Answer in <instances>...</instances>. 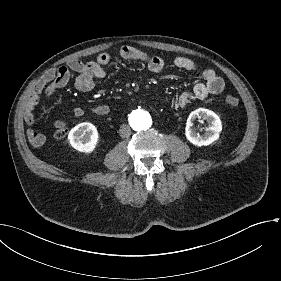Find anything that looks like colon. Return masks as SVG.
<instances>
[{"label":"colon","instance_id":"1","mask_svg":"<svg viewBox=\"0 0 281 281\" xmlns=\"http://www.w3.org/2000/svg\"><path fill=\"white\" fill-rule=\"evenodd\" d=\"M225 103L226 105H228L229 107H235L238 105L239 100L238 98L234 97V96H227L225 98ZM66 134V130L65 127L63 125H60L56 131V137L57 138H62L64 137Z\"/></svg>","mask_w":281,"mask_h":281}]
</instances>
